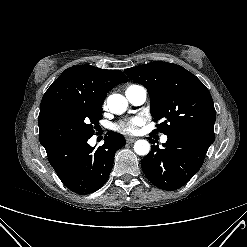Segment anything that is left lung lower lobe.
Instances as JSON below:
<instances>
[{
    "instance_id": "0a47b994",
    "label": "left lung lower lobe",
    "mask_w": 247,
    "mask_h": 247,
    "mask_svg": "<svg viewBox=\"0 0 247 247\" xmlns=\"http://www.w3.org/2000/svg\"><path fill=\"white\" fill-rule=\"evenodd\" d=\"M162 148L153 145L141 161L148 180L156 187L173 191L184 186L200 169L211 144L186 134H169Z\"/></svg>"
}]
</instances>
